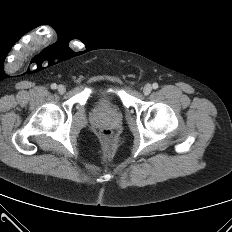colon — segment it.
Listing matches in <instances>:
<instances>
[{
  "label": "colon",
  "mask_w": 232,
  "mask_h": 232,
  "mask_svg": "<svg viewBox=\"0 0 232 232\" xmlns=\"http://www.w3.org/2000/svg\"><path fill=\"white\" fill-rule=\"evenodd\" d=\"M100 135L102 139L107 142L111 143L113 141V133L110 129L104 128L100 131Z\"/></svg>",
  "instance_id": "colon-1"
}]
</instances>
